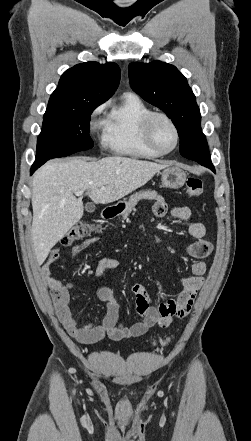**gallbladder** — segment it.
Wrapping results in <instances>:
<instances>
[{"mask_svg":"<svg viewBox=\"0 0 251 441\" xmlns=\"http://www.w3.org/2000/svg\"><path fill=\"white\" fill-rule=\"evenodd\" d=\"M86 211L87 212H89V213H92V212H94L95 211V205L94 204H92V203H88V204H86Z\"/></svg>","mask_w":251,"mask_h":441,"instance_id":"1","label":"gallbladder"}]
</instances>
